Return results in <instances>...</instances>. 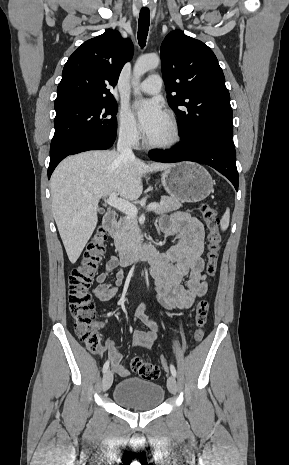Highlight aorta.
<instances>
[{
	"mask_svg": "<svg viewBox=\"0 0 289 465\" xmlns=\"http://www.w3.org/2000/svg\"><path fill=\"white\" fill-rule=\"evenodd\" d=\"M160 59L157 55H144L137 59L133 69V86L135 87L134 94L138 95L139 91L136 88L139 84L140 77L151 69L158 67Z\"/></svg>",
	"mask_w": 289,
	"mask_h": 465,
	"instance_id": "aorta-1",
	"label": "aorta"
}]
</instances>
